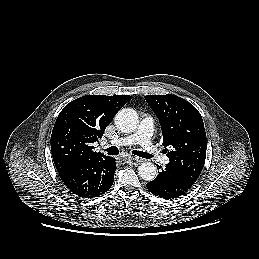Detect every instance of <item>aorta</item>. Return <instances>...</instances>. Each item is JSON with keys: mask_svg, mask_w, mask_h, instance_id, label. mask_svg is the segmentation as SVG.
I'll return each instance as SVG.
<instances>
[{"mask_svg": "<svg viewBox=\"0 0 259 259\" xmlns=\"http://www.w3.org/2000/svg\"><path fill=\"white\" fill-rule=\"evenodd\" d=\"M114 122L121 132L131 133L138 125L137 112L130 108H124L115 115ZM138 175L145 181H152L157 176V167L151 162H143L138 167Z\"/></svg>", "mask_w": 259, "mask_h": 259, "instance_id": "obj_1", "label": "aorta"}]
</instances>
